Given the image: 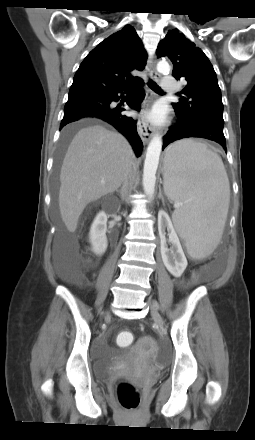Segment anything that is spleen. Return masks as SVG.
<instances>
[{"label": "spleen", "mask_w": 255, "mask_h": 440, "mask_svg": "<svg viewBox=\"0 0 255 440\" xmlns=\"http://www.w3.org/2000/svg\"><path fill=\"white\" fill-rule=\"evenodd\" d=\"M165 165L164 191L181 206L173 223L187 251L196 259L210 255L223 233L230 185L222 159L193 140L176 142Z\"/></svg>", "instance_id": "spleen-1"}]
</instances>
